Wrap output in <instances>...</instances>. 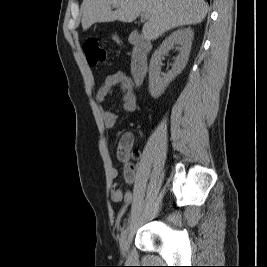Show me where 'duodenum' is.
<instances>
[{
    "label": "duodenum",
    "instance_id": "410a0bca",
    "mask_svg": "<svg viewBox=\"0 0 267 267\" xmlns=\"http://www.w3.org/2000/svg\"><path fill=\"white\" fill-rule=\"evenodd\" d=\"M130 42L133 45L131 74L134 81L140 84L145 79L148 71V54L151 50V44L136 32L130 35Z\"/></svg>",
    "mask_w": 267,
    "mask_h": 267
}]
</instances>
